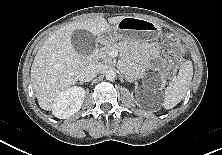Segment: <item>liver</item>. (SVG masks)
Wrapping results in <instances>:
<instances>
[{"instance_id": "liver-1", "label": "liver", "mask_w": 222, "mask_h": 155, "mask_svg": "<svg viewBox=\"0 0 222 155\" xmlns=\"http://www.w3.org/2000/svg\"><path fill=\"white\" fill-rule=\"evenodd\" d=\"M124 18H93L70 23L55 31L43 43L31 67L32 87L42 109L52 110L55 99L76 84L82 69L88 65V61L72 45V32L86 30L98 37L110 29V25H117Z\"/></svg>"}]
</instances>
